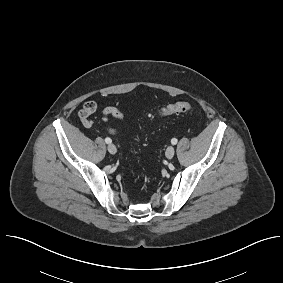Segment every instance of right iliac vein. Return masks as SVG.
<instances>
[{
	"label": "right iliac vein",
	"instance_id": "63e3f726",
	"mask_svg": "<svg viewBox=\"0 0 283 283\" xmlns=\"http://www.w3.org/2000/svg\"><path fill=\"white\" fill-rule=\"evenodd\" d=\"M107 149L110 154H116L117 152L116 146L114 144H109Z\"/></svg>",
	"mask_w": 283,
	"mask_h": 283
}]
</instances>
